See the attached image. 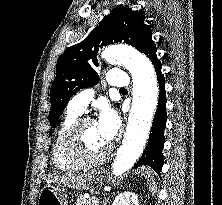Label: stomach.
I'll list each match as a JSON object with an SVG mask.
<instances>
[{
  "label": "stomach",
  "instance_id": "1",
  "mask_svg": "<svg viewBox=\"0 0 222 205\" xmlns=\"http://www.w3.org/2000/svg\"><path fill=\"white\" fill-rule=\"evenodd\" d=\"M94 180L101 181L103 177L99 174L93 176ZM70 201L64 187L47 184L41 190L38 205H69Z\"/></svg>",
  "mask_w": 222,
  "mask_h": 205
}]
</instances>
